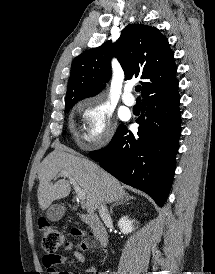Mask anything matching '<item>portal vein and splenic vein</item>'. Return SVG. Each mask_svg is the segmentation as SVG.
<instances>
[{
  "instance_id": "18ae733b",
  "label": "portal vein and splenic vein",
  "mask_w": 215,
  "mask_h": 274,
  "mask_svg": "<svg viewBox=\"0 0 215 274\" xmlns=\"http://www.w3.org/2000/svg\"><path fill=\"white\" fill-rule=\"evenodd\" d=\"M60 174H61V176H65V177H68L70 179V182L73 185V188L75 190L77 198L80 199L81 201H85L86 193L83 189H81V187H79L77 182L72 177H70V175L65 171H61Z\"/></svg>"
}]
</instances>
